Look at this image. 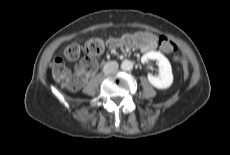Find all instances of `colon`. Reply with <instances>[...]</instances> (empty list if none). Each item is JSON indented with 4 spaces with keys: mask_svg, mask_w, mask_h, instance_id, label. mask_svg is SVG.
I'll return each mask as SVG.
<instances>
[{
    "mask_svg": "<svg viewBox=\"0 0 230 155\" xmlns=\"http://www.w3.org/2000/svg\"><path fill=\"white\" fill-rule=\"evenodd\" d=\"M157 41L160 48L170 54H175L177 47L172 40L166 36H160L157 39L153 35H148L143 32H134L124 35L119 43L125 47H132L135 45H145L150 42ZM109 45L101 39L88 40L83 48L87 56L81 61L78 66V74L70 75V71L61 58H55L51 65V72L57 81H60L69 89H76L83 81V78L92 73L97 67L96 56L100 55ZM82 50V45L79 42L70 44L65 49V57L69 60H76L79 58Z\"/></svg>",
    "mask_w": 230,
    "mask_h": 155,
    "instance_id": "1",
    "label": "colon"
}]
</instances>
